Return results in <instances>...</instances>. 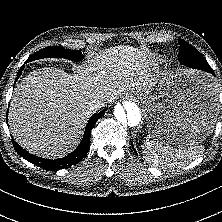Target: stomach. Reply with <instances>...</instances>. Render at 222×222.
<instances>
[{
	"mask_svg": "<svg viewBox=\"0 0 222 222\" xmlns=\"http://www.w3.org/2000/svg\"><path fill=\"white\" fill-rule=\"evenodd\" d=\"M147 112L149 138L164 145L187 147L207 138L218 115L216 89L203 73H165L154 95L130 92Z\"/></svg>",
	"mask_w": 222,
	"mask_h": 222,
	"instance_id": "0dacf381",
	"label": "stomach"
}]
</instances>
